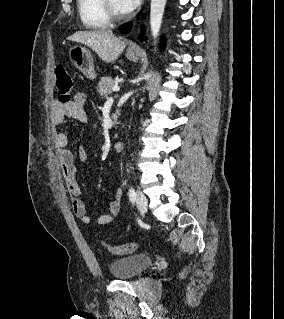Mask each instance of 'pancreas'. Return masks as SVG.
Returning <instances> with one entry per match:
<instances>
[{
  "label": "pancreas",
  "instance_id": "pancreas-1",
  "mask_svg": "<svg viewBox=\"0 0 284 319\" xmlns=\"http://www.w3.org/2000/svg\"><path fill=\"white\" fill-rule=\"evenodd\" d=\"M117 81L115 79H112L111 77H102L101 81L98 83L97 92L102 97H107V95L111 94L113 91V87ZM114 119L116 120V114L113 115Z\"/></svg>",
  "mask_w": 284,
  "mask_h": 319
}]
</instances>
